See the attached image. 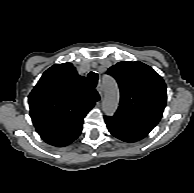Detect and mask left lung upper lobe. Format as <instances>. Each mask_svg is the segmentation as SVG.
Listing matches in <instances>:
<instances>
[{
    "label": "left lung upper lobe",
    "mask_w": 194,
    "mask_h": 193,
    "mask_svg": "<svg viewBox=\"0 0 194 193\" xmlns=\"http://www.w3.org/2000/svg\"><path fill=\"white\" fill-rule=\"evenodd\" d=\"M108 74L120 88V104L115 115L155 127L167 99L162 77L139 61L119 62L108 69Z\"/></svg>",
    "instance_id": "5c2ea615"
}]
</instances>
